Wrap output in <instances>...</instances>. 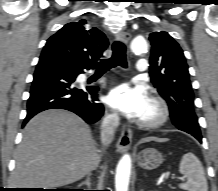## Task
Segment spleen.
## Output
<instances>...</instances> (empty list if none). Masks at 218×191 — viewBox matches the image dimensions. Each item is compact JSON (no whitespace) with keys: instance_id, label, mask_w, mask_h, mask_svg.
Segmentation results:
<instances>
[{"instance_id":"3e777b00","label":"spleen","mask_w":218,"mask_h":191,"mask_svg":"<svg viewBox=\"0 0 218 191\" xmlns=\"http://www.w3.org/2000/svg\"><path fill=\"white\" fill-rule=\"evenodd\" d=\"M179 172L187 178L185 183L179 185L181 189L187 191H208L204 168L193 153H186L182 157Z\"/></svg>"}]
</instances>
